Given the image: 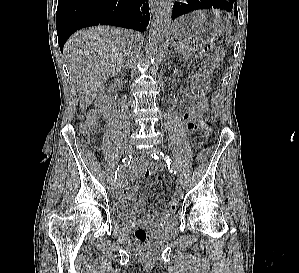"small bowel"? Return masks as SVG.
Masks as SVG:
<instances>
[{
	"label": "small bowel",
	"instance_id": "obj_1",
	"mask_svg": "<svg viewBox=\"0 0 299 273\" xmlns=\"http://www.w3.org/2000/svg\"><path fill=\"white\" fill-rule=\"evenodd\" d=\"M192 107L193 97L191 94L186 93L180 102V113L186 123L187 129L191 133L193 143L197 147H202L207 138L208 127L203 122L196 123L191 119ZM156 169L157 166L153 163L138 162L128 170L122 179L119 189L116 192L117 204L122 211L127 212L128 205L137 192V187L131 185L130 182L138 178H148L155 173ZM159 180H163V177L160 176ZM145 204L146 198L140 199L135 204L132 215L138 217L144 210ZM175 210L176 206H173L171 203L168 204L163 210L162 219L166 220L172 217L175 213ZM148 221H155V217L153 215H149Z\"/></svg>",
	"mask_w": 299,
	"mask_h": 273
}]
</instances>
